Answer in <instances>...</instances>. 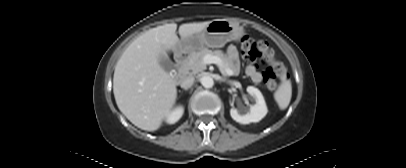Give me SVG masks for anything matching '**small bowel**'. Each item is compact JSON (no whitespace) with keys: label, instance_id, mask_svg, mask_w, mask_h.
<instances>
[{"label":"small bowel","instance_id":"c3829d8e","mask_svg":"<svg viewBox=\"0 0 406 168\" xmlns=\"http://www.w3.org/2000/svg\"><path fill=\"white\" fill-rule=\"evenodd\" d=\"M226 57L230 63V69L233 73H237L239 66H238V50L235 46L230 45L226 50ZM247 75L252 79L255 83H260L262 81V74L256 70L253 65H248L246 67Z\"/></svg>","mask_w":406,"mask_h":168}]
</instances>
